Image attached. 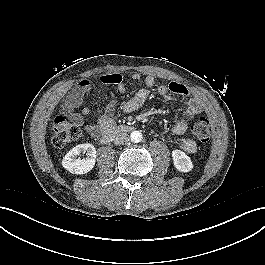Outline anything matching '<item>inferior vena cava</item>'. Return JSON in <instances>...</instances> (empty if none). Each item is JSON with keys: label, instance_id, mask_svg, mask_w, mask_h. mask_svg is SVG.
Masks as SVG:
<instances>
[{"label": "inferior vena cava", "instance_id": "inferior-vena-cava-1", "mask_svg": "<svg viewBox=\"0 0 265 265\" xmlns=\"http://www.w3.org/2000/svg\"><path fill=\"white\" fill-rule=\"evenodd\" d=\"M129 141V135L125 132L118 133L114 139L115 145H123Z\"/></svg>", "mask_w": 265, "mask_h": 265}]
</instances>
